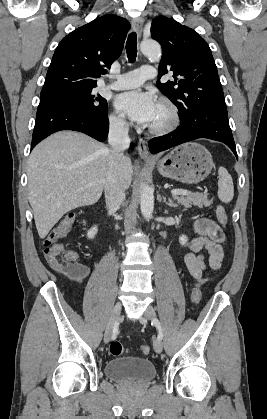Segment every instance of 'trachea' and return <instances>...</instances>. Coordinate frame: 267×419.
<instances>
[{"instance_id":"1","label":"trachea","mask_w":267,"mask_h":419,"mask_svg":"<svg viewBox=\"0 0 267 419\" xmlns=\"http://www.w3.org/2000/svg\"><path fill=\"white\" fill-rule=\"evenodd\" d=\"M126 53L129 62H134L137 55V35L135 32H132L128 35L126 42Z\"/></svg>"}]
</instances>
